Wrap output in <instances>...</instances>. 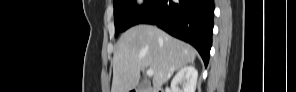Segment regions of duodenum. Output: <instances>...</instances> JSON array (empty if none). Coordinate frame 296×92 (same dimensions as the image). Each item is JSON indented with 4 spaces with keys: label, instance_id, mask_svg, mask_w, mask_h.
I'll list each match as a JSON object with an SVG mask.
<instances>
[{
    "label": "duodenum",
    "instance_id": "410a0bca",
    "mask_svg": "<svg viewBox=\"0 0 296 92\" xmlns=\"http://www.w3.org/2000/svg\"><path fill=\"white\" fill-rule=\"evenodd\" d=\"M133 92H153V91H151V90L141 91V90H139V89H136V90H133Z\"/></svg>",
    "mask_w": 296,
    "mask_h": 92
}]
</instances>
